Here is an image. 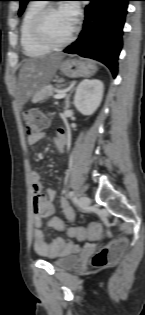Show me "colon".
I'll list each match as a JSON object with an SVG mask.
<instances>
[{
  "label": "colon",
  "mask_w": 145,
  "mask_h": 315,
  "mask_svg": "<svg viewBox=\"0 0 145 315\" xmlns=\"http://www.w3.org/2000/svg\"><path fill=\"white\" fill-rule=\"evenodd\" d=\"M25 129L28 136L40 132L47 126V118L37 110L29 109L23 113ZM68 235L78 239H93L100 235V226L91 223L84 228H70ZM125 246L124 239H118L99 250L92 258V264L97 267L114 263L121 256Z\"/></svg>",
  "instance_id": "colon-1"
}]
</instances>
